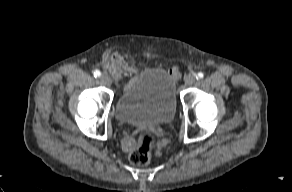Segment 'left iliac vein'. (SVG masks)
<instances>
[{
	"mask_svg": "<svg viewBox=\"0 0 292 192\" xmlns=\"http://www.w3.org/2000/svg\"><path fill=\"white\" fill-rule=\"evenodd\" d=\"M196 81V75L193 73H189L188 75L185 76V84L186 86H191L195 83Z\"/></svg>",
	"mask_w": 292,
	"mask_h": 192,
	"instance_id": "obj_1",
	"label": "left iliac vein"
}]
</instances>
